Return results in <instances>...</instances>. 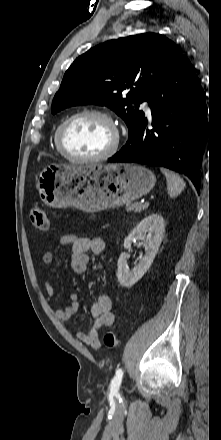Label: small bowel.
<instances>
[{"mask_svg":"<svg viewBox=\"0 0 221 440\" xmlns=\"http://www.w3.org/2000/svg\"><path fill=\"white\" fill-rule=\"evenodd\" d=\"M70 246L71 247V268L77 274H84L89 263V252L101 254L105 250V241L101 238H87L68 234L61 237L58 246L53 251L43 254L42 262L50 265L54 261L56 252ZM46 298L50 301L55 295V289L50 281L44 282ZM70 304L65 309H58L55 316L62 322H67L71 317L79 312L78 294L70 295ZM89 316L93 325L88 332H77V338L93 348H99V330L103 327H111L115 322V314L112 311V301L106 294H100L89 309Z\"/></svg>","mask_w":221,"mask_h":440,"instance_id":"1","label":"small bowel"}]
</instances>
